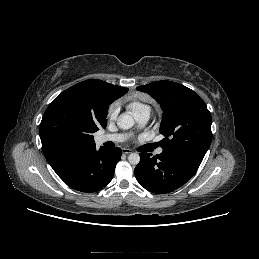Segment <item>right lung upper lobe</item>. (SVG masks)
<instances>
[{
	"mask_svg": "<svg viewBox=\"0 0 259 259\" xmlns=\"http://www.w3.org/2000/svg\"><path fill=\"white\" fill-rule=\"evenodd\" d=\"M127 92V88L97 79H90L68 88L56 97L45 111L40 124L42 150L47 161L52 162L64 152L78 151L96 146L91 133L86 134L71 148L53 149L49 147L43 138L42 129L53 115L59 112L70 114L98 131L99 127L105 128L107 125L106 117L109 105Z\"/></svg>",
	"mask_w": 259,
	"mask_h": 259,
	"instance_id": "1",
	"label": "right lung upper lobe"
}]
</instances>
